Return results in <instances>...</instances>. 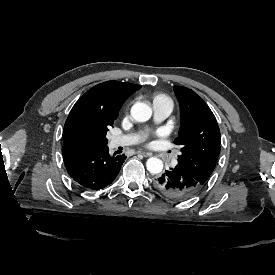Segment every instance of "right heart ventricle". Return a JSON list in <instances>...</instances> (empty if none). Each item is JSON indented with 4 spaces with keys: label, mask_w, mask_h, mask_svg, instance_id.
Returning <instances> with one entry per match:
<instances>
[{
    "label": "right heart ventricle",
    "mask_w": 275,
    "mask_h": 275,
    "mask_svg": "<svg viewBox=\"0 0 275 275\" xmlns=\"http://www.w3.org/2000/svg\"><path fill=\"white\" fill-rule=\"evenodd\" d=\"M160 103H162V100H158Z\"/></svg>",
    "instance_id": "obj_1"
}]
</instances>
